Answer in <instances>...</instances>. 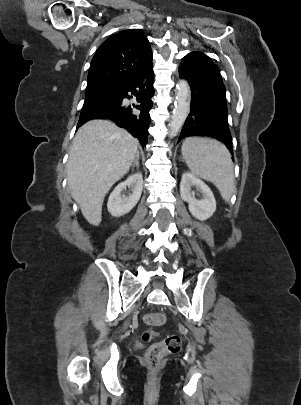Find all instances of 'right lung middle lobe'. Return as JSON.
I'll return each mask as SVG.
<instances>
[{"mask_svg": "<svg viewBox=\"0 0 301 405\" xmlns=\"http://www.w3.org/2000/svg\"><path fill=\"white\" fill-rule=\"evenodd\" d=\"M118 94V91L107 89L86 91L85 102L82 109H92L101 104L109 103L113 101Z\"/></svg>", "mask_w": 301, "mask_h": 405, "instance_id": "right-lung-middle-lobe-1", "label": "right lung middle lobe"}]
</instances>
